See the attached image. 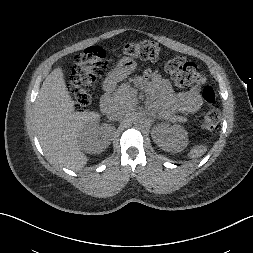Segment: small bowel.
Masks as SVG:
<instances>
[{
  "mask_svg": "<svg viewBox=\"0 0 253 253\" xmlns=\"http://www.w3.org/2000/svg\"><path fill=\"white\" fill-rule=\"evenodd\" d=\"M136 82L156 94L172 112L195 113L202 106V97L197 87L183 92H175L170 83L158 71L147 72L144 77L136 78Z\"/></svg>",
  "mask_w": 253,
  "mask_h": 253,
  "instance_id": "c3829d8e",
  "label": "small bowel"
}]
</instances>
